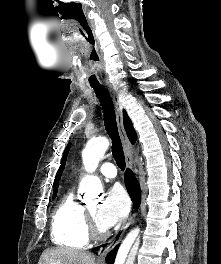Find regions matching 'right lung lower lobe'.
<instances>
[{"instance_id": "98d812e1", "label": "right lung lower lobe", "mask_w": 221, "mask_h": 264, "mask_svg": "<svg viewBox=\"0 0 221 264\" xmlns=\"http://www.w3.org/2000/svg\"><path fill=\"white\" fill-rule=\"evenodd\" d=\"M125 184H126V188L128 190V193L131 196V199L133 201V203L135 204V208L138 209L139 204H140V187L139 184L137 182V179L135 178L134 174L132 173L131 170H127L125 172ZM117 245L114 250L110 251L106 257V262H108L109 264H113L115 256H116V252L118 249Z\"/></svg>"}]
</instances>
